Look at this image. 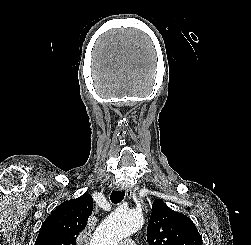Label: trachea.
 Listing matches in <instances>:
<instances>
[{
    "mask_svg": "<svg viewBox=\"0 0 251 245\" xmlns=\"http://www.w3.org/2000/svg\"><path fill=\"white\" fill-rule=\"evenodd\" d=\"M124 196H125V191H114L113 190L110 195V200L112 201V203L118 204L123 200Z\"/></svg>",
    "mask_w": 251,
    "mask_h": 245,
    "instance_id": "1",
    "label": "trachea"
}]
</instances>
